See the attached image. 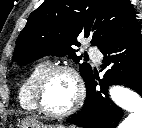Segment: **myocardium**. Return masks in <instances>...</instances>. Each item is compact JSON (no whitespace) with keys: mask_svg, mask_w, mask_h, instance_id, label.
<instances>
[{"mask_svg":"<svg viewBox=\"0 0 142 128\" xmlns=\"http://www.w3.org/2000/svg\"><path fill=\"white\" fill-rule=\"evenodd\" d=\"M58 72H66L71 75V77L74 80L75 87H76V96H75V100L73 104L66 111L52 112L46 109L43 104V93H44V89L50 77ZM84 99H85L84 82L79 72L71 65L57 64V65L50 66L43 72V74L40 76V78L38 79L36 83L35 103H36L37 109L38 111H40L41 113H43L44 115L50 118L61 119V118H65L67 116L72 115L81 107V105L84 102Z\"/></svg>","mask_w":142,"mask_h":128,"instance_id":"1","label":"myocardium"}]
</instances>
